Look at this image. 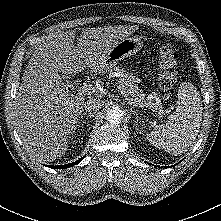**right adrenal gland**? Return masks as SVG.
Returning a JSON list of instances; mask_svg holds the SVG:
<instances>
[{
    "instance_id": "obj_1",
    "label": "right adrenal gland",
    "mask_w": 221,
    "mask_h": 221,
    "mask_svg": "<svg viewBox=\"0 0 221 221\" xmlns=\"http://www.w3.org/2000/svg\"><path fill=\"white\" fill-rule=\"evenodd\" d=\"M94 115H95V112H94V113H91V112H90V113H86V112H85V113H82V114H81V117L83 118V117L87 116V117H90V118H91V117H94Z\"/></svg>"
}]
</instances>
